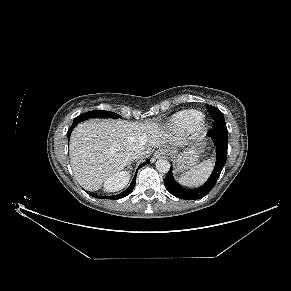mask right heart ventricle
I'll use <instances>...</instances> for the list:
<instances>
[{
    "label": "right heart ventricle",
    "mask_w": 291,
    "mask_h": 291,
    "mask_svg": "<svg viewBox=\"0 0 291 291\" xmlns=\"http://www.w3.org/2000/svg\"><path fill=\"white\" fill-rule=\"evenodd\" d=\"M204 115L197 110H184L173 115L168 126L179 132H190L203 121Z\"/></svg>",
    "instance_id": "obj_1"
}]
</instances>
